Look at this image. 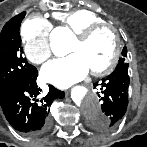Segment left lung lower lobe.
I'll return each mask as SVG.
<instances>
[{
    "instance_id": "1",
    "label": "left lung lower lobe",
    "mask_w": 147,
    "mask_h": 147,
    "mask_svg": "<svg viewBox=\"0 0 147 147\" xmlns=\"http://www.w3.org/2000/svg\"><path fill=\"white\" fill-rule=\"evenodd\" d=\"M128 66L116 68L101 83H94V87H101V109L104 118H91L89 125L92 128L107 131L114 129L126 113L128 105L129 87Z\"/></svg>"
}]
</instances>
